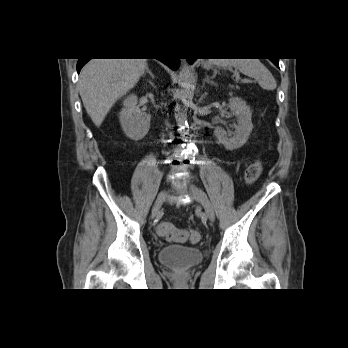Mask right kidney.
<instances>
[{"label":"right kidney","instance_id":"obj_1","mask_svg":"<svg viewBox=\"0 0 348 348\" xmlns=\"http://www.w3.org/2000/svg\"><path fill=\"white\" fill-rule=\"evenodd\" d=\"M138 98L130 94L123 101L119 121L125 135L134 141L143 139L149 131L151 116L137 107Z\"/></svg>","mask_w":348,"mask_h":348}]
</instances>
